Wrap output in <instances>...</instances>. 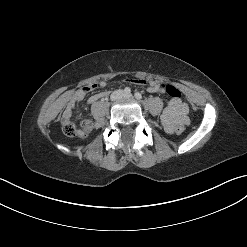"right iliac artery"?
<instances>
[{
	"instance_id": "82829eb1",
	"label": "right iliac artery",
	"mask_w": 247,
	"mask_h": 247,
	"mask_svg": "<svg viewBox=\"0 0 247 247\" xmlns=\"http://www.w3.org/2000/svg\"><path fill=\"white\" fill-rule=\"evenodd\" d=\"M124 92H125L126 94H130V93H131V89H130L129 87H126V88L124 89Z\"/></svg>"
}]
</instances>
